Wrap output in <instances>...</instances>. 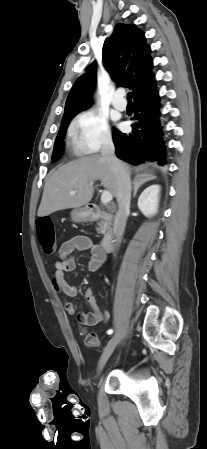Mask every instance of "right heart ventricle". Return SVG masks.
Wrapping results in <instances>:
<instances>
[{"label": "right heart ventricle", "instance_id": "e07e8e85", "mask_svg": "<svg viewBox=\"0 0 207 449\" xmlns=\"http://www.w3.org/2000/svg\"><path fill=\"white\" fill-rule=\"evenodd\" d=\"M71 146H72L73 151H74L75 154H80L81 153V149L78 147L74 137L71 138Z\"/></svg>", "mask_w": 207, "mask_h": 449}]
</instances>
